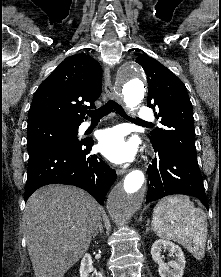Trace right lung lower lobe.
<instances>
[{"label":"right lung lower lobe","instance_id":"obj_1","mask_svg":"<svg viewBox=\"0 0 221 277\" xmlns=\"http://www.w3.org/2000/svg\"><path fill=\"white\" fill-rule=\"evenodd\" d=\"M93 139L73 141L41 150L28 161L24 199L48 184H68L89 192L100 204L116 180V172L90 154Z\"/></svg>","mask_w":221,"mask_h":277}]
</instances>
